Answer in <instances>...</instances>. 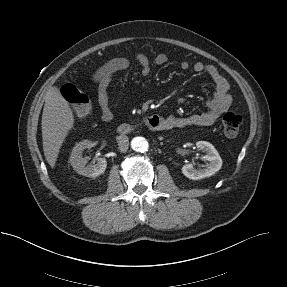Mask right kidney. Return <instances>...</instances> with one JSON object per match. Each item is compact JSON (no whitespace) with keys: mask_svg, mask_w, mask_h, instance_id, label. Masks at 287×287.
<instances>
[{"mask_svg":"<svg viewBox=\"0 0 287 287\" xmlns=\"http://www.w3.org/2000/svg\"><path fill=\"white\" fill-rule=\"evenodd\" d=\"M92 146L89 140H83L75 145L70 156V163L73 169L80 175L87 177H97L103 174L107 167L105 158H98L94 165H87L88 160L83 158V150Z\"/></svg>","mask_w":287,"mask_h":287,"instance_id":"ca27d5eb","label":"right kidney"}]
</instances>
